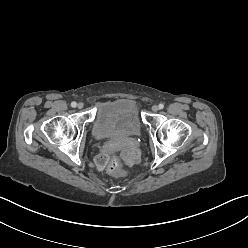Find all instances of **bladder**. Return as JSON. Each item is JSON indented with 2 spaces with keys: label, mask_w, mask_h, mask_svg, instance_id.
I'll return each instance as SVG.
<instances>
[{
  "label": "bladder",
  "mask_w": 248,
  "mask_h": 248,
  "mask_svg": "<svg viewBox=\"0 0 248 248\" xmlns=\"http://www.w3.org/2000/svg\"><path fill=\"white\" fill-rule=\"evenodd\" d=\"M142 122L134 101L117 98L101 102L93 120L92 134L96 139H115L137 134Z\"/></svg>",
  "instance_id": "obj_1"
}]
</instances>
